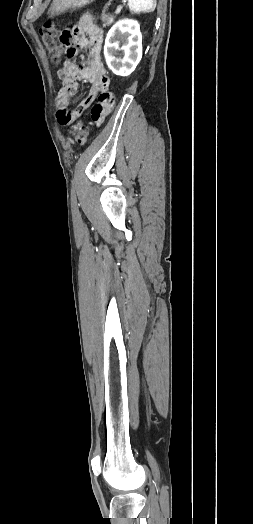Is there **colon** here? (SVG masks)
I'll return each mask as SVG.
<instances>
[{"mask_svg":"<svg viewBox=\"0 0 253 524\" xmlns=\"http://www.w3.org/2000/svg\"><path fill=\"white\" fill-rule=\"evenodd\" d=\"M61 31L62 29H59L55 24L51 22L44 24L39 30L42 44L44 45L53 63H60L62 61L63 52L60 50L61 44L58 41V36ZM69 112L70 111L66 109H61L58 112V120L60 123H66L68 121ZM71 132L74 140L79 144L85 143L88 139V126L81 120H78L73 123L71 127Z\"/></svg>","mask_w":253,"mask_h":524,"instance_id":"1","label":"colon"}]
</instances>
